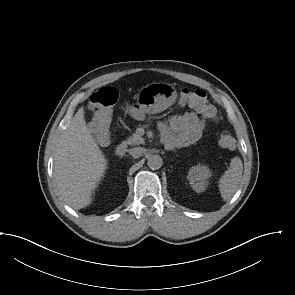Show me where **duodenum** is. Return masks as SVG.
I'll list each match as a JSON object with an SVG mask.
<instances>
[{"mask_svg": "<svg viewBox=\"0 0 295 295\" xmlns=\"http://www.w3.org/2000/svg\"><path fill=\"white\" fill-rule=\"evenodd\" d=\"M126 153V145L124 143H120L115 147V154L119 157L124 156Z\"/></svg>", "mask_w": 295, "mask_h": 295, "instance_id": "obj_1", "label": "duodenum"}]
</instances>
